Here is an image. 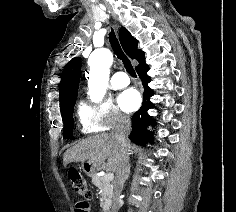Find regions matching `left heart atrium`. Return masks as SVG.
Here are the masks:
<instances>
[{
	"label": "left heart atrium",
	"instance_id": "39dd6f15",
	"mask_svg": "<svg viewBox=\"0 0 236 212\" xmlns=\"http://www.w3.org/2000/svg\"><path fill=\"white\" fill-rule=\"evenodd\" d=\"M118 103L124 111L133 112L141 104V95L135 88L126 89L119 95Z\"/></svg>",
	"mask_w": 236,
	"mask_h": 212
}]
</instances>
